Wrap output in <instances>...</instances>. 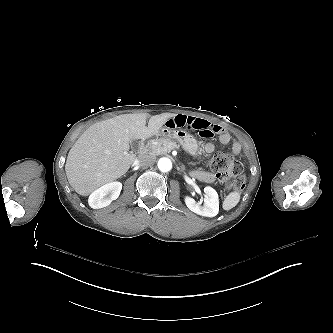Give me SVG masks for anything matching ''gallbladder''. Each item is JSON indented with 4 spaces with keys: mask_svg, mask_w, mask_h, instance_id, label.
Returning a JSON list of instances; mask_svg holds the SVG:
<instances>
[{
    "mask_svg": "<svg viewBox=\"0 0 333 333\" xmlns=\"http://www.w3.org/2000/svg\"><path fill=\"white\" fill-rule=\"evenodd\" d=\"M131 147L133 151H137L138 150V142L137 141H132L131 142Z\"/></svg>",
    "mask_w": 333,
    "mask_h": 333,
    "instance_id": "bac80fb5",
    "label": "gallbladder"
}]
</instances>
